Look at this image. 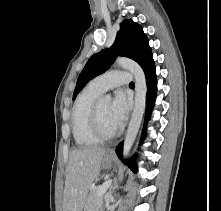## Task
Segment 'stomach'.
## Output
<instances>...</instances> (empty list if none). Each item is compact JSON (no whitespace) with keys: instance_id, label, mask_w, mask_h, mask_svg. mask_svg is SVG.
Masks as SVG:
<instances>
[{"instance_id":"1","label":"stomach","mask_w":221,"mask_h":211,"mask_svg":"<svg viewBox=\"0 0 221 211\" xmlns=\"http://www.w3.org/2000/svg\"><path fill=\"white\" fill-rule=\"evenodd\" d=\"M114 156L107 154L102 160V167L105 169L111 168L113 165Z\"/></svg>"}]
</instances>
